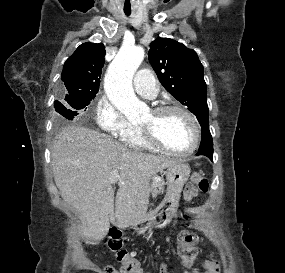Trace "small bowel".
Instances as JSON below:
<instances>
[{"label": "small bowel", "mask_w": 285, "mask_h": 273, "mask_svg": "<svg viewBox=\"0 0 285 273\" xmlns=\"http://www.w3.org/2000/svg\"><path fill=\"white\" fill-rule=\"evenodd\" d=\"M204 266L206 268V271L204 273H219V264L216 261L206 260L204 262ZM141 273H172V272L168 269L166 263L160 262L155 271H147V272L141 271Z\"/></svg>", "instance_id": "c3829d8e"}]
</instances>
